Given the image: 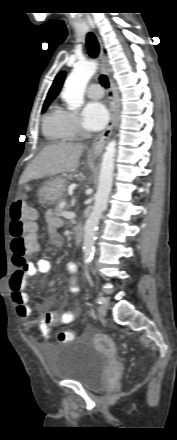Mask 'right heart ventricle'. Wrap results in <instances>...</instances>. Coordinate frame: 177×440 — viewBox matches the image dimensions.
<instances>
[{"mask_svg": "<svg viewBox=\"0 0 177 440\" xmlns=\"http://www.w3.org/2000/svg\"><path fill=\"white\" fill-rule=\"evenodd\" d=\"M43 134L51 142H63L70 137L63 124L62 110L52 106L43 118Z\"/></svg>", "mask_w": 177, "mask_h": 440, "instance_id": "obj_1", "label": "right heart ventricle"}]
</instances>
